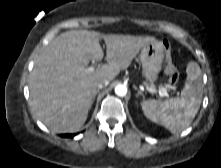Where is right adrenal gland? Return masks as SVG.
Segmentation results:
<instances>
[{
  "label": "right adrenal gland",
  "instance_id": "2a0ac1e0",
  "mask_svg": "<svg viewBox=\"0 0 221 168\" xmlns=\"http://www.w3.org/2000/svg\"><path fill=\"white\" fill-rule=\"evenodd\" d=\"M97 93H99V90H97ZM96 96V95H95ZM95 96L93 97V99H92V104H93V102H94V100H95Z\"/></svg>",
  "mask_w": 221,
  "mask_h": 168
}]
</instances>
